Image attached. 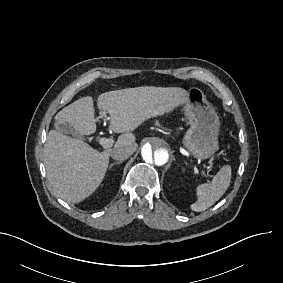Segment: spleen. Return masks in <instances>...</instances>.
<instances>
[{
    "mask_svg": "<svg viewBox=\"0 0 283 283\" xmlns=\"http://www.w3.org/2000/svg\"><path fill=\"white\" fill-rule=\"evenodd\" d=\"M230 181L231 167L224 165L210 182L196 187L197 201L190 205V209L196 212L207 210L225 194Z\"/></svg>",
    "mask_w": 283,
    "mask_h": 283,
    "instance_id": "3e777b00",
    "label": "spleen"
}]
</instances>
